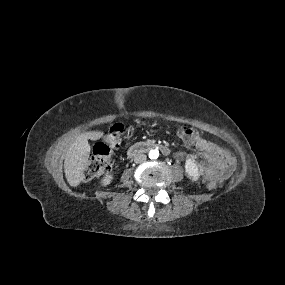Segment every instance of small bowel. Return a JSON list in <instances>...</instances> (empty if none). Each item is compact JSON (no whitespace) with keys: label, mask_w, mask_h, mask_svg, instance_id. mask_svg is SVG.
Returning a JSON list of instances; mask_svg holds the SVG:
<instances>
[{"label":"small bowel","mask_w":285,"mask_h":285,"mask_svg":"<svg viewBox=\"0 0 285 285\" xmlns=\"http://www.w3.org/2000/svg\"><path fill=\"white\" fill-rule=\"evenodd\" d=\"M195 146L205 158L206 163L202 165V170L206 178L222 180L230 176L234 169V160L226 149L200 136Z\"/></svg>","instance_id":"obj_1"}]
</instances>
